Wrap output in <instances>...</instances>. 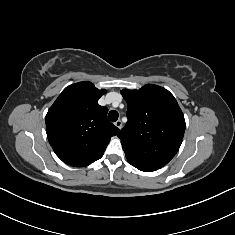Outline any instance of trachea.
<instances>
[{
  "label": "trachea",
  "mask_w": 235,
  "mask_h": 235,
  "mask_svg": "<svg viewBox=\"0 0 235 235\" xmlns=\"http://www.w3.org/2000/svg\"><path fill=\"white\" fill-rule=\"evenodd\" d=\"M118 116H119V114H118V112L115 111V110L110 111L109 114H108L109 120H110L111 122L117 121Z\"/></svg>",
  "instance_id": "3493384b"
}]
</instances>
